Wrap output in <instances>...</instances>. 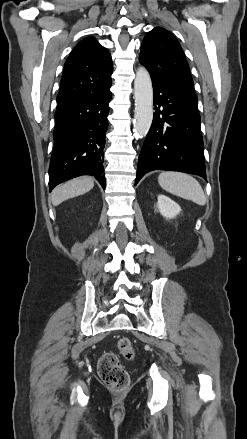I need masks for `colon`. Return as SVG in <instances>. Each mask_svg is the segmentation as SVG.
Wrapping results in <instances>:
<instances>
[{
    "label": "colon",
    "instance_id": "obj_1",
    "mask_svg": "<svg viewBox=\"0 0 247 439\" xmlns=\"http://www.w3.org/2000/svg\"><path fill=\"white\" fill-rule=\"evenodd\" d=\"M118 350L127 360L134 358V351L129 339L118 341ZM98 373L102 381L116 391L123 390L129 383V375L119 356L114 352H105L98 363Z\"/></svg>",
    "mask_w": 247,
    "mask_h": 439
}]
</instances>
